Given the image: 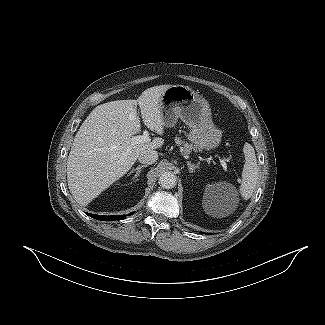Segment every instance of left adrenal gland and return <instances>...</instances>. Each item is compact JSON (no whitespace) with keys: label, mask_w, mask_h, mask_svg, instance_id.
<instances>
[{"label":"left adrenal gland","mask_w":325,"mask_h":325,"mask_svg":"<svg viewBox=\"0 0 325 325\" xmlns=\"http://www.w3.org/2000/svg\"><path fill=\"white\" fill-rule=\"evenodd\" d=\"M187 166L189 168V172L193 173L195 171V169L199 168L198 165L192 164L191 162H187Z\"/></svg>","instance_id":"obj_1"}]
</instances>
